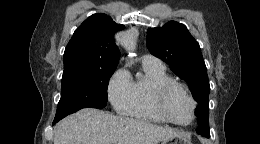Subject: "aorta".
<instances>
[{"mask_svg": "<svg viewBox=\"0 0 260 144\" xmlns=\"http://www.w3.org/2000/svg\"><path fill=\"white\" fill-rule=\"evenodd\" d=\"M136 42V34L134 32H128L123 39V46L127 50H133Z\"/></svg>", "mask_w": 260, "mask_h": 144, "instance_id": "1", "label": "aorta"}]
</instances>
